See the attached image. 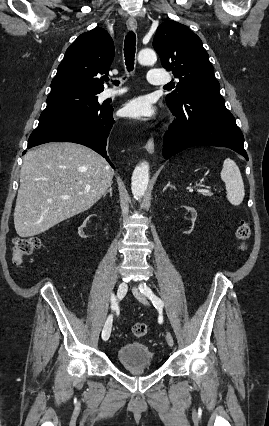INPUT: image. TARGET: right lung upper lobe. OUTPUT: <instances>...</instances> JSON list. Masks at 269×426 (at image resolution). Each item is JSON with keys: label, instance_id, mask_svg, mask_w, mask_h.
<instances>
[{"label": "right lung upper lobe", "instance_id": "right-lung-upper-lobe-1", "mask_svg": "<svg viewBox=\"0 0 269 426\" xmlns=\"http://www.w3.org/2000/svg\"><path fill=\"white\" fill-rule=\"evenodd\" d=\"M114 59V44L103 28L81 34L66 50L51 92L75 89L100 93L104 90L100 74H107Z\"/></svg>", "mask_w": 269, "mask_h": 426}]
</instances>
